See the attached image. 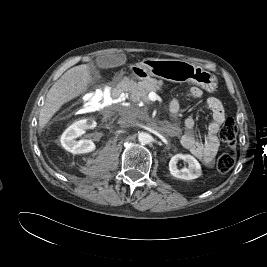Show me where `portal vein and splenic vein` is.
Segmentation results:
<instances>
[{
    "label": "portal vein and splenic vein",
    "instance_id": "portal-vein-and-splenic-vein-1",
    "mask_svg": "<svg viewBox=\"0 0 267 267\" xmlns=\"http://www.w3.org/2000/svg\"><path fill=\"white\" fill-rule=\"evenodd\" d=\"M148 99L150 100V101H156V100H161V98H160V96H158L155 92H150L149 94H148Z\"/></svg>",
    "mask_w": 267,
    "mask_h": 267
}]
</instances>
